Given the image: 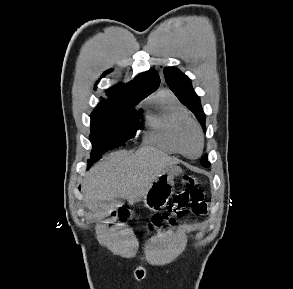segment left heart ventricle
Wrapping results in <instances>:
<instances>
[{
    "instance_id": "b2bd125f",
    "label": "left heart ventricle",
    "mask_w": 293,
    "mask_h": 289,
    "mask_svg": "<svg viewBox=\"0 0 293 289\" xmlns=\"http://www.w3.org/2000/svg\"><path fill=\"white\" fill-rule=\"evenodd\" d=\"M184 146L186 151L191 154L195 155L198 151V139L195 131L192 128H188L183 136Z\"/></svg>"
}]
</instances>
